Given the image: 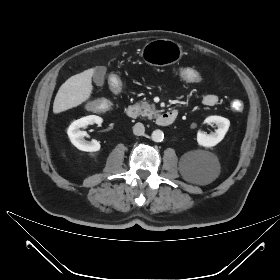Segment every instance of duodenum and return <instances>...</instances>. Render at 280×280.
<instances>
[{"instance_id":"410a0bca","label":"duodenum","mask_w":280,"mask_h":280,"mask_svg":"<svg viewBox=\"0 0 280 280\" xmlns=\"http://www.w3.org/2000/svg\"><path fill=\"white\" fill-rule=\"evenodd\" d=\"M126 114L130 119H136L139 116V109L134 104L129 105L126 109ZM177 115H178L177 110L175 109L167 110L159 116L157 123L160 126H168L173 123Z\"/></svg>"}]
</instances>
